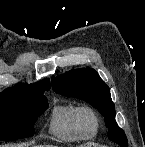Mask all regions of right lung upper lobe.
<instances>
[{"label":"right lung upper lobe","mask_w":145,"mask_h":147,"mask_svg":"<svg viewBox=\"0 0 145 147\" xmlns=\"http://www.w3.org/2000/svg\"><path fill=\"white\" fill-rule=\"evenodd\" d=\"M31 89H50V81L49 79H45L36 84H30V85L20 83L14 87L7 88L0 95H6V94L14 93V92L31 90Z\"/></svg>","instance_id":"cb5924a9"}]
</instances>
